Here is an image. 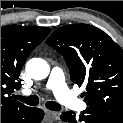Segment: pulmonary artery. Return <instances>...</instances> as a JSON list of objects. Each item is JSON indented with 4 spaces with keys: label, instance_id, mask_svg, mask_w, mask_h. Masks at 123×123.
<instances>
[{
    "label": "pulmonary artery",
    "instance_id": "e3ab8cb5",
    "mask_svg": "<svg viewBox=\"0 0 123 123\" xmlns=\"http://www.w3.org/2000/svg\"><path fill=\"white\" fill-rule=\"evenodd\" d=\"M47 88L50 89L56 99L64 105L76 110H82L85 108L84 103L76 98L68 89L63 71L60 68H53L51 70L47 81ZM24 94L29 95L31 94V91L26 90L24 91Z\"/></svg>",
    "mask_w": 123,
    "mask_h": 123
}]
</instances>
